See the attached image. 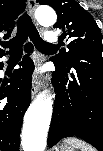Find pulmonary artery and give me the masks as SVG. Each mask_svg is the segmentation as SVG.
Here are the masks:
<instances>
[{
    "mask_svg": "<svg viewBox=\"0 0 103 151\" xmlns=\"http://www.w3.org/2000/svg\"><path fill=\"white\" fill-rule=\"evenodd\" d=\"M45 39L47 41V43L49 44H53L57 41V34L54 31H49L46 33L45 35Z\"/></svg>",
    "mask_w": 103,
    "mask_h": 151,
    "instance_id": "e3ab8cb5",
    "label": "pulmonary artery"
}]
</instances>
